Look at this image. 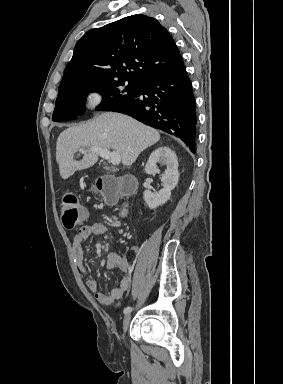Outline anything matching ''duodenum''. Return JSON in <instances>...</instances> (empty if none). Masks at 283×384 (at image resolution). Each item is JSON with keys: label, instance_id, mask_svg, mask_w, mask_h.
<instances>
[{"label": "duodenum", "instance_id": "duodenum-1", "mask_svg": "<svg viewBox=\"0 0 283 384\" xmlns=\"http://www.w3.org/2000/svg\"><path fill=\"white\" fill-rule=\"evenodd\" d=\"M108 181H109V178L106 179V182H108ZM119 213L121 214V216H125V214H126V209H125V208H121V209L119 210Z\"/></svg>", "mask_w": 283, "mask_h": 384}]
</instances>
